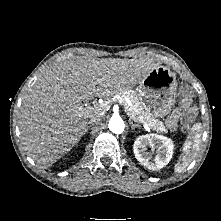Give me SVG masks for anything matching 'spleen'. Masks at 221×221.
Masks as SVG:
<instances>
[{
    "instance_id": "spleen-1",
    "label": "spleen",
    "mask_w": 221,
    "mask_h": 221,
    "mask_svg": "<svg viewBox=\"0 0 221 221\" xmlns=\"http://www.w3.org/2000/svg\"><path fill=\"white\" fill-rule=\"evenodd\" d=\"M200 129V124H195L193 126V131L191 135L184 143L183 154L174 166V171L176 173H181L183 170H185L194 159V157L197 155L200 143Z\"/></svg>"
}]
</instances>
